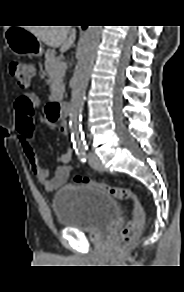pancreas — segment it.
<instances>
[{
  "instance_id": "cf45deb5",
  "label": "pancreas",
  "mask_w": 184,
  "mask_h": 292,
  "mask_svg": "<svg viewBox=\"0 0 184 292\" xmlns=\"http://www.w3.org/2000/svg\"><path fill=\"white\" fill-rule=\"evenodd\" d=\"M55 54V50H47L45 54V70L50 79L51 93L61 97L64 92L63 79L66 69L61 68L63 62Z\"/></svg>"
}]
</instances>
